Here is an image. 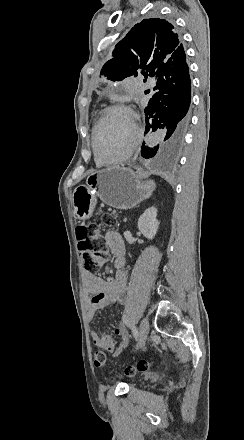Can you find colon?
<instances>
[{
    "instance_id": "5ec220e1",
    "label": "colon",
    "mask_w": 244,
    "mask_h": 440,
    "mask_svg": "<svg viewBox=\"0 0 244 440\" xmlns=\"http://www.w3.org/2000/svg\"><path fill=\"white\" fill-rule=\"evenodd\" d=\"M115 225L114 216L103 214L100 223L83 224L76 228V240L78 241V251L86 260L88 272L99 269L106 259L107 242L102 234L101 227H111ZM92 363L96 368H103L107 365V357L102 350H95L92 355ZM149 362L140 360L133 366H127L125 375L133 377L136 374H144L149 370Z\"/></svg>"
}]
</instances>
